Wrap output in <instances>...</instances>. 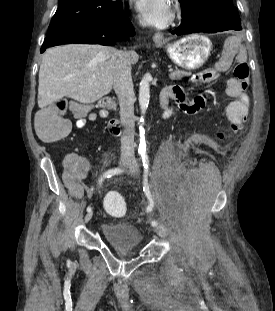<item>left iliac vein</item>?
I'll return each instance as SVG.
<instances>
[{"label": "left iliac vein", "instance_id": "1", "mask_svg": "<svg viewBox=\"0 0 275 311\" xmlns=\"http://www.w3.org/2000/svg\"><path fill=\"white\" fill-rule=\"evenodd\" d=\"M139 171V165L135 159L131 161V164L129 165V173L133 176H135ZM154 231L161 237H166L167 232L165 228L161 225H158L154 228Z\"/></svg>", "mask_w": 275, "mask_h": 311}]
</instances>
